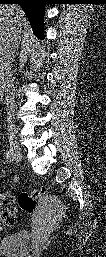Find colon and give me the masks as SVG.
<instances>
[{
    "instance_id": "5ec220e1",
    "label": "colon",
    "mask_w": 106,
    "mask_h": 257,
    "mask_svg": "<svg viewBox=\"0 0 106 257\" xmlns=\"http://www.w3.org/2000/svg\"><path fill=\"white\" fill-rule=\"evenodd\" d=\"M52 198L51 192L47 188L41 187L33 191L20 192L17 196V204L22 211L32 214L39 205L47 206Z\"/></svg>"
}]
</instances>
